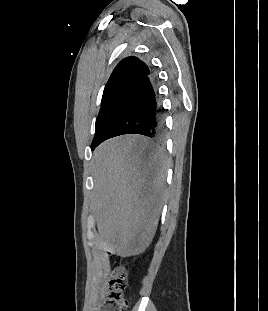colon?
Listing matches in <instances>:
<instances>
[{
	"instance_id": "obj_1",
	"label": "colon",
	"mask_w": 268,
	"mask_h": 311,
	"mask_svg": "<svg viewBox=\"0 0 268 311\" xmlns=\"http://www.w3.org/2000/svg\"><path fill=\"white\" fill-rule=\"evenodd\" d=\"M126 279L122 269H117L105 289V301L100 311H126L128 300L125 295Z\"/></svg>"
}]
</instances>
